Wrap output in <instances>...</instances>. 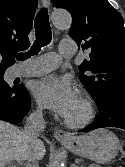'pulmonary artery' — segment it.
<instances>
[{
    "instance_id": "obj_1",
    "label": "pulmonary artery",
    "mask_w": 125,
    "mask_h": 167,
    "mask_svg": "<svg viewBox=\"0 0 125 167\" xmlns=\"http://www.w3.org/2000/svg\"><path fill=\"white\" fill-rule=\"evenodd\" d=\"M75 52V43L72 40H61L59 54L49 52L32 59V65L22 67L14 72L16 77L40 76L47 74L58 67L61 58H71Z\"/></svg>"
}]
</instances>
